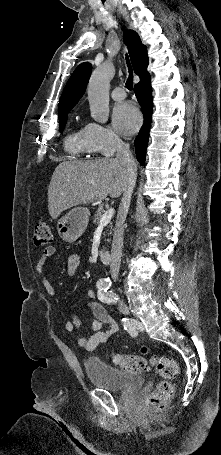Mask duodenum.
Returning <instances> with one entry per match:
<instances>
[{"instance_id": "duodenum-1", "label": "duodenum", "mask_w": 221, "mask_h": 455, "mask_svg": "<svg viewBox=\"0 0 221 455\" xmlns=\"http://www.w3.org/2000/svg\"><path fill=\"white\" fill-rule=\"evenodd\" d=\"M100 259L104 264H110L112 261V254L108 249H102L100 251Z\"/></svg>"}]
</instances>
